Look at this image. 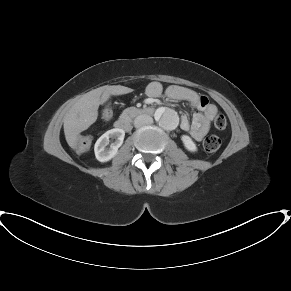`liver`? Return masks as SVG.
Returning a JSON list of instances; mask_svg holds the SVG:
<instances>
[{"label":"liver","mask_w":291,"mask_h":291,"mask_svg":"<svg viewBox=\"0 0 291 291\" xmlns=\"http://www.w3.org/2000/svg\"><path fill=\"white\" fill-rule=\"evenodd\" d=\"M132 92L124 86H103L83 95L64 116V133L70 147L75 148L78 135L88 129L98 117V108L112 95Z\"/></svg>","instance_id":"obj_1"}]
</instances>
